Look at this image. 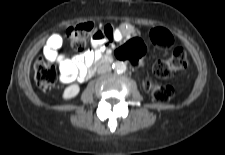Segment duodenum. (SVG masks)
<instances>
[{
	"mask_svg": "<svg viewBox=\"0 0 225 155\" xmlns=\"http://www.w3.org/2000/svg\"><path fill=\"white\" fill-rule=\"evenodd\" d=\"M113 61V57L111 55H104V56H101L97 61H96V66L98 65H104V64H109ZM94 73V68H91L89 71H88V74H87V77H90L92 76V74Z\"/></svg>",
	"mask_w": 225,
	"mask_h": 155,
	"instance_id": "1",
	"label": "duodenum"
}]
</instances>
